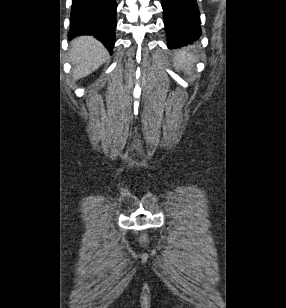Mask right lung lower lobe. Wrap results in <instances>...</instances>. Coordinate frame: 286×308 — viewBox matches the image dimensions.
Returning <instances> with one entry per match:
<instances>
[{"label": "right lung lower lobe", "instance_id": "right-lung-lower-lobe-1", "mask_svg": "<svg viewBox=\"0 0 286 308\" xmlns=\"http://www.w3.org/2000/svg\"><path fill=\"white\" fill-rule=\"evenodd\" d=\"M115 0H72L69 39L92 35L112 53L115 44Z\"/></svg>", "mask_w": 286, "mask_h": 308}]
</instances>
